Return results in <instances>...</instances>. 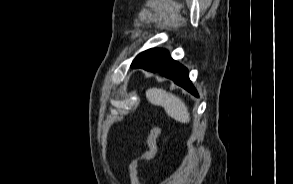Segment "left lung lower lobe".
Here are the masks:
<instances>
[{
	"label": "left lung lower lobe",
	"mask_w": 293,
	"mask_h": 184,
	"mask_svg": "<svg viewBox=\"0 0 293 184\" xmlns=\"http://www.w3.org/2000/svg\"><path fill=\"white\" fill-rule=\"evenodd\" d=\"M148 56L132 68H143L152 72H158L162 76L170 78L177 85L198 97V93L189 80L188 70L178 62L174 61L169 53L163 49L147 50Z\"/></svg>",
	"instance_id": "left-lung-lower-lobe-1"
}]
</instances>
